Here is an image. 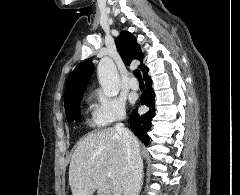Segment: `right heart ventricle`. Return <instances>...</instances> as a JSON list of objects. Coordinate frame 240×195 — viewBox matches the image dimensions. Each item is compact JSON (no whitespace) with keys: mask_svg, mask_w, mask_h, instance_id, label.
Returning a JSON list of instances; mask_svg holds the SVG:
<instances>
[{"mask_svg":"<svg viewBox=\"0 0 240 195\" xmlns=\"http://www.w3.org/2000/svg\"><path fill=\"white\" fill-rule=\"evenodd\" d=\"M95 123H96L97 125H102V124L98 123L96 120H95Z\"/></svg>","mask_w":240,"mask_h":195,"instance_id":"obj_1","label":"right heart ventricle"}]
</instances>
